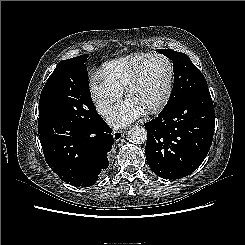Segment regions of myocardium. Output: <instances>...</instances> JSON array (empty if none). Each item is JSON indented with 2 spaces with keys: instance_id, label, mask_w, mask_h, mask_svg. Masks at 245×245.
Instances as JSON below:
<instances>
[{
  "instance_id": "f54148a6",
  "label": "myocardium",
  "mask_w": 245,
  "mask_h": 245,
  "mask_svg": "<svg viewBox=\"0 0 245 245\" xmlns=\"http://www.w3.org/2000/svg\"><path fill=\"white\" fill-rule=\"evenodd\" d=\"M154 58H161L167 63V66H168V81H167V85H166L165 91H164L163 95L161 96V98L154 105H152V106H150L149 108L146 109V112L150 113V114L157 113L160 110H162L163 107L168 102L170 96H171V93H172V90H173V85H174V66H173L172 61L167 56H165L164 54L151 53L141 63V65L138 67V69L136 70V72L134 73V75L132 76V78L129 80V82L127 83V85L125 87V96L128 97L130 91L141 80L147 64L149 63V61L151 59H154Z\"/></svg>"
}]
</instances>
